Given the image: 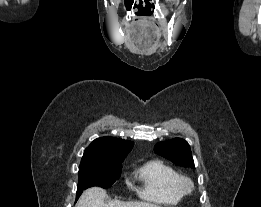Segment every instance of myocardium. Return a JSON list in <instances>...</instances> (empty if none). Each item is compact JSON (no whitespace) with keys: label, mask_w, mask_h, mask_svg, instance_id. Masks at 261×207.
Returning <instances> with one entry per match:
<instances>
[{"label":"myocardium","mask_w":261,"mask_h":207,"mask_svg":"<svg viewBox=\"0 0 261 207\" xmlns=\"http://www.w3.org/2000/svg\"><path fill=\"white\" fill-rule=\"evenodd\" d=\"M179 186L184 194H189L194 189V184L188 177H180Z\"/></svg>","instance_id":"1"}]
</instances>
